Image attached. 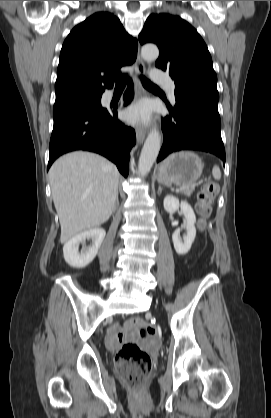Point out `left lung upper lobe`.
Returning a JSON list of instances; mask_svg holds the SVG:
<instances>
[{"label": "left lung upper lobe", "instance_id": "5c2ea615", "mask_svg": "<svg viewBox=\"0 0 271 418\" xmlns=\"http://www.w3.org/2000/svg\"><path fill=\"white\" fill-rule=\"evenodd\" d=\"M139 41L157 44L160 56L155 65L169 72L175 90H189L219 100L210 53L188 22L171 14H152L145 22Z\"/></svg>", "mask_w": 271, "mask_h": 418}]
</instances>
